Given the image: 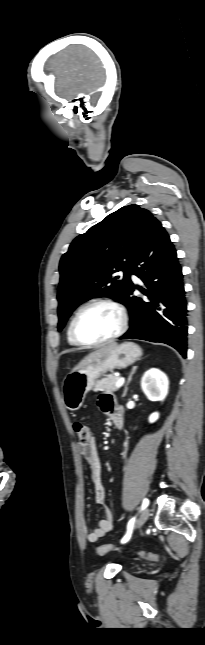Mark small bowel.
<instances>
[{
	"instance_id": "obj_1",
	"label": "small bowel",
	"mask_w": 205,
	"mask_h": 645,
	"mask_svg": "<svg viewBox=\"0 0 205 645\" xmlns=\"http://www.w3.org/2000/svg\"><path fill=\"white\" fill-rule=\"evenodd\" d=\"M98 407L112 419L120 416L116 401L111 394L101 395L98 399ZM77 452L85 459L89 467L93 484L94 501L97 505L102 506L105 513L104 518L98 522L97 527L86 534V540L94 543L114 529L115 519L112 512L105 506L106 492L102 482V466L96 442L91 440L88 444H78Z\"/></svg>"
}]
</instances>
